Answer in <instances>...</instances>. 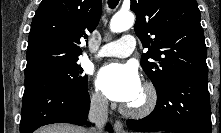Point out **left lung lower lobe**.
Listing matches in <instances>:
<instances>
[{
    "label": "left lung lower lobe",
    "instance_id": "obj_1",
    "mask_svg": "<svg viewBox=\"0 0 221 133\" xmlns=\"http://www.w3.org/2000/svg\"><path fill=\"white\" fill-rule=\"evenodd\" d=\"M127 125L140 132L211 133V108L207 76L191 73L177 75L157 91L154 111Z\"/></svg>",
    "mask_w": 221,
    "mask_h": 133
}]
</instances>
